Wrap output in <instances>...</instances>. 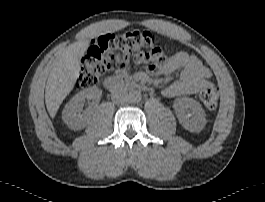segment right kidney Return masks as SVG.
<instances>
[{
	"label": "right kidney",
	"instance_id": "1",
	"mask_svg": "<svg viewBox=\"0 0 265 202\" xmlns=\"http://www.w3.org/2000/svg\"><path fill=\"white\" fill-rule=\"evenodd\" d=\"M102 97V90L99 88L91 87L78 92L72 99L65 105L62 111V119L65 124L73 129H83L88 121V114L81 113L84 101L92 100L93 103H99Z\"/></svg>",
	"mask_w": 265,
	"mask_h": 202
}]
</instances>
